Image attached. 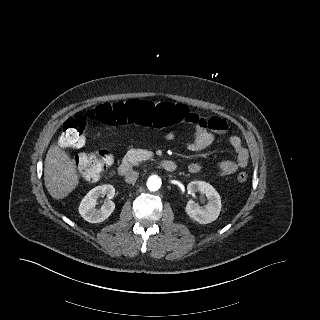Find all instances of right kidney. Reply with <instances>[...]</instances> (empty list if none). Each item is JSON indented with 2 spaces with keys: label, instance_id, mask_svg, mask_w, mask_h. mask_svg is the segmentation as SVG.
<instances>
[{
  "label": "right kidney",
  "instance_id": "obj_1",
  "mask_svg": "<svg viewBox=\"0 0 320 320\" xmlns=\"http://www.w3.org/2000/svg\"><path fill=\"white\" fill-rule=\"evenodd\" d=\"M106 195L109 199L104 202L100 209L96 208L100 196ZM115 195V188L112 185H101L90 190L82 199L79 205V213L89 223H101L106 220L114 211L115 204L112 199Z\"/></svg>",
  "mask_w": 320,
  "mask_h": 320
}]
</instances>
